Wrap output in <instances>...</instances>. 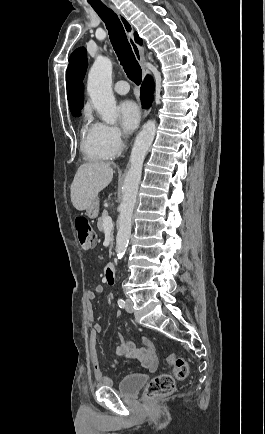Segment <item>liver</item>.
I'll list each match as a JSON object with an SVG mask.
<instances>
[{
  "mask_svg": "<svg viewBox=\"0 0 265 434\" xmlns=\"http://www.w3.org/2000/svg\"><path fill=\"white\" fill-rule=\"evenodd\" d=\"M111 164L113 162H91L78 168L71 186V202L76 210H87L99 192L112 182Z\"/></svg>",
  "mask_w": 265,
  "mask_h": 434,
  "instance_id": "obj_1",
  "label": "liver"
}]
</instances>
